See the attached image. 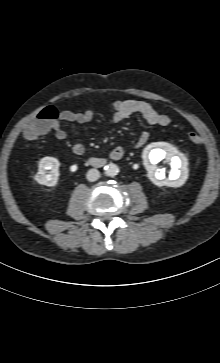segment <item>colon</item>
I'll list each match as a JSON object with an SVG mask.
<instances>
[{
	"label": "colon",
	"instance_id": "colon-1",
	"mask_svg": "<svg viewBox=\"0 0 220 363\" xmlns=\"http://www.w3.org/2000/svg\"><path fill=\"white\" fill-rule=\"evenodd\" d=\"M59 118V112L56 107L49 105L42 108L37 116L28 122L24 129L23 133L28 139H36L39 136L47 133L51 128L54 122H56ZM189 139L193 144L199 145L203 142L201 136L196 133L189 134Z\"/></svg>",
	"mask_w": 220,
	"mask_h": 363
}]
</instances>
